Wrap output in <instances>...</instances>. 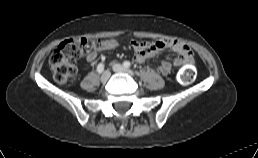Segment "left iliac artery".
Wrapping results in <instances>:
<instances>
[{
  "mask_svg": "<svg viewBox=\"0 0 258 158\" xmlns=\"http://www.w3.org/2000/svg\"><path fill=\"white\" fill-rule=\"evenodd\" d=\"M123 65L124 67L129 68L131 66V63L129 61H125Z\"/></svg>",
  "mask_w": 258,
  "mask_h": 158,
  "instance_id": "1",
  "label": "left iliac artery"
}]
</instances>
